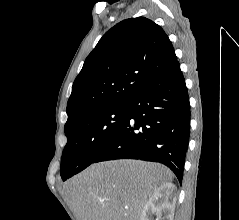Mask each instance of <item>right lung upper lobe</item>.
I'll return each instance as SVG.
<instances>
[{
  "label": "right lung upper lobe",
  "mask_w": 239,
  "mask_h": 220,
  "mask_svg": "<svg viewBox=\"0 0 239 220\" xmlns=\"http://www.w3.org/2000/svg\"><path fill=\"white\" fill-rule=\"evenodd\" d=\"M177 58L164 30L145 17L116 24L99 40L76 77L65 127L78 118L127 101Z\"/></svg>",
  "instance_id": "right-lung-upper-lobe-1"
}]
</instances>
